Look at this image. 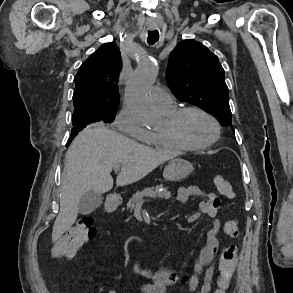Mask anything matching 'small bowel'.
<instances>
[{"label":"small bowel","mask_w":293,"mask_h":293,"mask_svg":"<svg viewBox=\"0 0 293 293\" xmlns=\"http://www.w3.org/2000/svg\"><path fill=\"white\" fill-rule=\"evenodd\" d=\"M176 198L180 203H186L191 198H202L199 210L188 216L187 221L194 223L202 215L213 219L211 229L206 234V241L194 264L195 275L188 281V289L191 293H210L212 289L215 267L211 265L219 248L218 233L221 229L219 209L221 201L214 192L201 189L198 186L181 187L177 190ZM134 271L142 279L133 289L124 293H168L169 288L178 281V274L170 269L146 271L135 265ZM203 273V280L199 285L198 274ZM105 293H117L115 290H107Z\"/></svg>","instance_id":"obj_1"}]
</instances>
